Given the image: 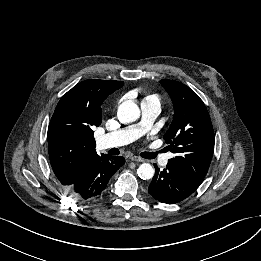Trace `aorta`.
<instances>
[{"label":"aorta","mask_w":261,"mask_h":261,"mask_svg":"<svg viewBox=\"0 0 261 261\" xmlns=\"http://www.w3.org/2000/svg\"><path fill=\"white\" fill-rule=\"evenodd\" d=\"M117 116L122 123H131L140 117L139 107L132 101H124L118 107ZM138 176L143 180L151 179L155 170L149 163H143L137 170Z\"/></svg>","instance_id":"obj_1"}]
</instances>
